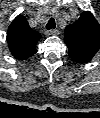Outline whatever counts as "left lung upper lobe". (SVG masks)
Masks as SVG:
<instances>
[{
    "label": "left lung upper lobe",
    "instance_id": "left-lung-upper-lobe-1",
    "mask_svg": "<svg viewBox=\"0 0 100 118\" xmlns=\"http://www.w3.org/2000/svg\"><path fill=\"white\" fill-rule=\"evenodd\" d=\"M65 43L73 61L81 64L91 61L100 49V25L90 12H82L74 24L67 26Z\"/></svg>",
    "mask_w": 100,
    "mask_h": 118
}]
</instances>
